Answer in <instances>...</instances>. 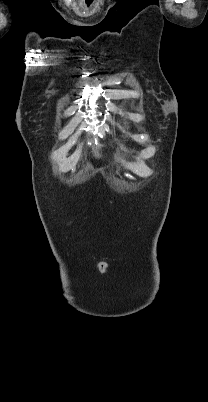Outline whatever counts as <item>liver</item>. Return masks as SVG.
<instances>
[{
  "mask_svg": "<svg viewBox=\"0 0 208 402\" xmlns=\"http://www.w3.org/2000/svg\"><path fill=\"white\" fill-rule=\"evenodd\" d=\"M94 154H95L96 158H100V154H98V152H96V150H94Z\"/></svg>",
  "mask_w": 208,
  "mask_h": 402,
  "instance_id": "6515ba94",
  "label": "liver"
}]
</instances>
